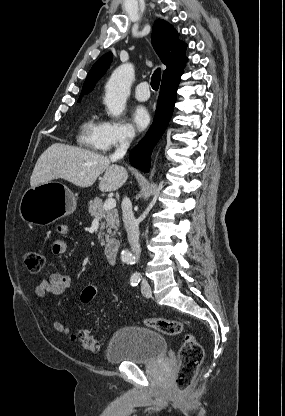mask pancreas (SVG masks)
<instances>
[{"label": "pancreas", "mask_w": 285, "mask_h": 416, "mask_svg": "<svg viewBox=\"0 0 285 416\" xmlns=\"http://www.w3.org/2000/svg\"><path fill=\"white\" fill-rule=\"evenodd\" d=\"M88 208L92 218H100L101 220L98 238L101 244H105V240H109L111 236H116L119 230L118 212L117 210H103L100 198L90 200Z\"/></svg>", "instance_id": "cf45deb5"}]
</instances>
